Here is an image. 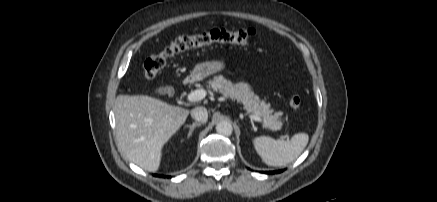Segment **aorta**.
Listing matches in <instances>:
<instances>
[{
  "instance_id": "762f6f07",
  "label": "aorta",
  "mask_w": 437,
  "mask_h": 202,
  "mask_svg": "<svg viewBox=\"0 0 437 202\" xmlns=\"http://www.w3.org/2000/svg\"><path fill=\"white\" fill-rule=\"evenodd\" d=\"M216 131L222 136H230L232 134L233 128L230 122L221 121L216 125Z\"/></svg>"
}]
</instances>
